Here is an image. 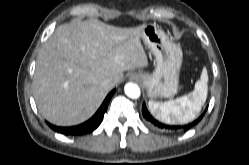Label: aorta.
Wrapping results in <instances>:
<instances>
[{"mask_svg": "<svg viewBox=\"0 0 249 165\" xmlns=\"http://www.w3.org/2000/svg\"><path fill=\"white\" fill-rule=\"evenodd\" d=\"M125 94L132 99H137L141 95L140 88L137 84L129 82L124 86Z\"/></svg>", "mask_w": 249, "mask_h": 165, "instance_id": "1", "label": "aorta"}]
</instances>
